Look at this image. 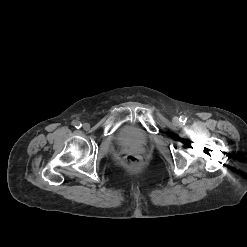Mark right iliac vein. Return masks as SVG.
<instances>
[{"label":"right iliac vein","instance_id":"right-iliac-vein-1","mask_svg":"<svg viewBox=\"0 0 247 247\" xmlns=\"http://www.w3.org/2000/svg\"><path fill=\"white\" fill-rule=\"evenodd\" d=\"M83 128H84L85 130H88V129L90 128L89 123H84V124H83Z\"/></svg>","mask_w":247,"mask_h":247}]
</instances>
